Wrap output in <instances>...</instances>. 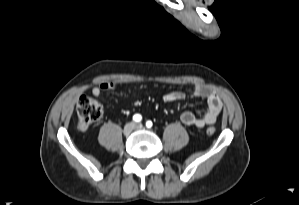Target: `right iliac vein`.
I'll list each match as a JSON object with an SVG mask.
<instances>
[{
    "label": "right iliac vein",
    "mask_w": 299,
    "mask_h": 205,
    "mask_svg": "<svg viewBox=\"0 0 299 205\" xmlns=\"http://www.w3.org/2000/svg\"><path fill=\"white\" fill-rule=\"evenodd\" d=\"M134 128H135L134 123L130 122V123L126 124L124 129H123L124 135L128 136L129 134H131L132 131L134 130Z\"/></svg>",
    "instance_id": "right-iliac-vein-1"
}]
</instances>
